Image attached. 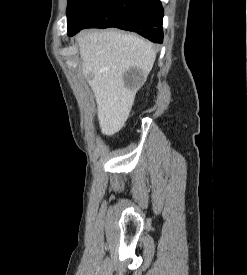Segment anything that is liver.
Listing matches in <instances>:
<instances>
[{
  "instance_id": "6515ba94",
  "label": "liver",
  "mask_w": 247,
  "mask_h": 275,
  "mask_svg": "<svg viewBox=\"0 0 247 275\" xmlns=\"http://www.w3.org/2000/svg\"><path fill=\"white\" fill-rule=\"evenodd\" d=\"M77 42L82 73L96 99L101 132L113 135L124 126L141 85L127 86L124 73L138 68L144 82L153 67L156 50L137 35L114 30L84 32Z\"/></svg>"
}]
</instances>
